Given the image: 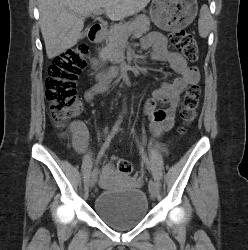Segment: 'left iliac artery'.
<instances>
[{"mask_svg": "<svg viewBox=\"0 0 248 250\" xmlns=\"http://www.w3.org/2000/svg\"><path fill=\"white\" fill-rule=\"evenodd\" d=\"M131 131H132L133 134H135L134 128H132ZM136 142L138 143L139 151H140L141 155L143 156V159H144V161H145V163H146V166H147V168L150 170L149 160H148V158H147L146 155H145L144 149H143V147L140 145L138 139H136Z\"/></svg>", "mask_w": 248, "mask_h": 250, "instance_id": "left-iliac-artery-1", "label": "left iliac artery"}]
</instances>
